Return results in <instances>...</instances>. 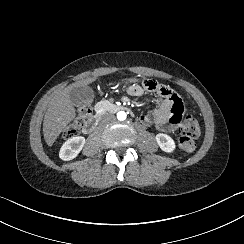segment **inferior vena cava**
<instances>
[{"instance_id": "inferior-vena-cava-1", "label": "inferior vena cava", "mask_w": 244, "mask_h": 244, "mask_svg": "<svg viewBox=\"0 0 244 244\" xmlns=\"http://www.w3.org/2000/svg\"><path fill=\"white\" fill-rule=\"evenodd\" d=\"M111 119L115 120V116H113V115H108V116H107V120L110 121Z\"/></svg>"}]
</instances>
